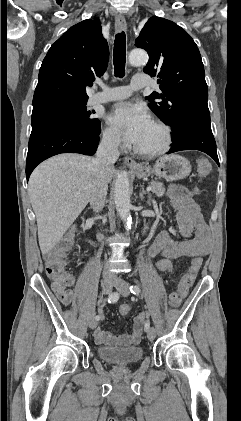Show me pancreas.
I'll return each instance as SVG.
<instances>
[{"label": "pancreas", "instance_id": "cf45deb5", "mask_svg": "<svg viewBox=\"0 0 241 421\" xmlns=\"http://www.w3.org/2000/svg\"><path fill=\"white\" fill-rule=\"evenodd\" d=\"M150 186L152 188V193L158 197L163 196V194L165 193V188L163 184L159 181H151Z\"/></svg>", "mask_w": 241, "mask_h": 421}]
</instances>
